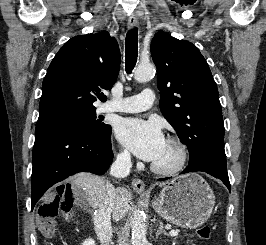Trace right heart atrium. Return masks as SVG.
Instances as JSON below:
<instances>
[{"instance_id": "d8ad5b80", "label": "right heart atrium", "mask_w": 266, "mask_h": 245, "mask_svg": "<svg viewBox=\"0 0 266 245\" xmlns=\"http://www.w3.org/2000/svg\"><path fill=\"white\" fill-rule=\"evenodd\" d=\"M118 157L122 161H127L130 158V155L126 150H122L120 151Z\"/></svg>"}]
</instances>
